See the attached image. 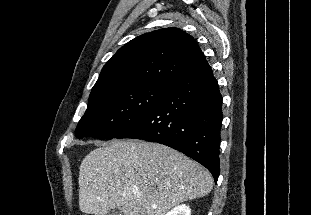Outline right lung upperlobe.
Segmentation results:
<instances>
[{
	"label": "right lung upper lobe",
	"instance_id": "1",
	"mask_svg": "<svg viewBox=\"0 0 311 215\" xmlns=\"http://www.w3.org/2000/svg\"><path fill=\"white\" fill-rule=\"evenodd\" d=\"M207 64L196 40L183 30H155L121 47L104 65L91 94L113 86L168 84Z\"/></svg>",
	"mask_w": 311,
	"mask_h": 215
}]
</instances>
